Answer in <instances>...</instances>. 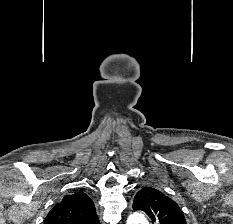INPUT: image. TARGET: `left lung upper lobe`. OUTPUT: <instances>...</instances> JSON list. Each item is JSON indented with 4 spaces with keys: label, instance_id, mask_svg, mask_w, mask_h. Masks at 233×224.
<instances>
[{
    "label": "left lung upper lobe",
    "instance_id": "1",
    "mask_svg": "<svg viewBox=\"0 0 233 224\" xmlns=\"http://www.w3.org/2000/svg\"><path fill=\"white\" fill-rule=\"evenodd\" d=\"M133 209L144 211L155 224H187L178 204L155 188L141 189L135 195Z\"/></svg>",
    "mask_w": 233,
    "mask_h": 224
}]
</instances>
